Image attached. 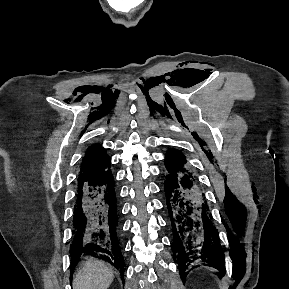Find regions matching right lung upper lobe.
Wrapping results in <instances>:
<instances>
[{"label":"right lung upper lobe","instance_id":"right-lung-upper-lobe-1","mask_svg":"<svg viewBox=\"0 0 289 289\" xmlns=\"http://www.w3.org/2000/svg\"><path fill=\"white\" fill-rule=\"evenodd\" d=\"M110 168V159L106 150L95 144L87 149L82 160L78 182L92 179Z\"/></svg>","mask_w":289,"mask_h":289}]
</instances>
